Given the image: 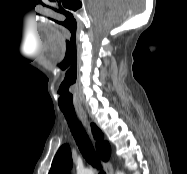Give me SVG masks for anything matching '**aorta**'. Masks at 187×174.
Wrapping results in <instances>:
<instances>
[{"instance_id":"aorta-1","label":"aorta","mask_w":187,"mask_h":174,"mask_svg":"<svg viewBox=\"0 0 187 174\" xmlns=\"http://www.w3.org/2000/svg\"><path fill=\"white\" fill-rule=\"evenodd\" d=\"M77 174H94V170L93 169H83V170H79L77 172ZM116 174H123V172H117Z\"/></svg>"}]
</instances>
